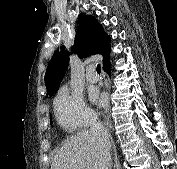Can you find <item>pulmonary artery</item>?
<instances>
[{"label": "pulmonary artery", "mask_w": 177, "mask_h": 169, "mask_svg": "<svg viewBox=\"0 0 177 169\" xmlns=\"http://www.w3.org/2000/svg\"><path fill=\"white\" fill-rule=\"evenodd\" d=\"M85 78L90 83H96L98 81V75L94 71V66L93 65L88 66Z\"/></svg>", "instance_id": "obj_1"}]
</instances>
